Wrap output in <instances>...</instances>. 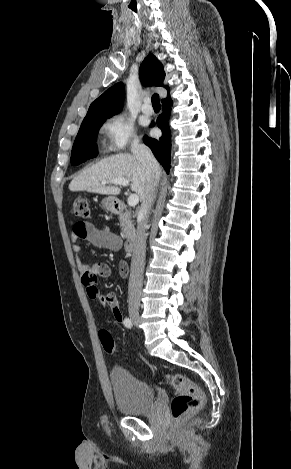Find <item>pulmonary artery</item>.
Masks as SVG:
<instances>
[{"label": "pulmonary artery", "instance_id": "e3ab8cb5", "mask_svg": "<svg viewBox=\"0 0 291 469\" xmlns=\"http://www.w3.org/2000/svg\"><path fill=\"white\" fill-rule=\"evenodd\" d=\"M142 112L146 115H151L153 113L150 98L144 99V103L142 105Z\"/></svg>", "mask_w": 291, "mask_h": 469}]
</instances>
